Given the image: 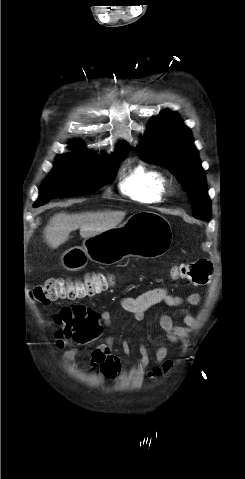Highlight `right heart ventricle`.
<instances>
[{
    "mask_svg": "<svg viewBox=\"0 0 245 479\" xmlns=\"http://www.w3.org/2000/svg\"><path fill=\"white\" fill-rule=\"evenodd\" d=\"M167 187L168 178L161 170L143 164L136 165L120 183L124 194L141 203L161 201Z\"/></svg>",
    "mask_w": 245,
    "mask_h": 479,
    "instance_id": "right-heart-ventricle-1",
    "label": "right heart ventricle"
}]
</instances>
